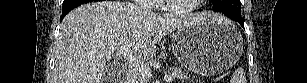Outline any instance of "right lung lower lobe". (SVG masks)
Here are the masks:
<instances>
[{"label": "right lung lower lobe", "instance_id": "98d812e1", "mask_svg": "<svg viewBox=\"0 0 307 83\" xmlns=\"http://www.w3.org/2000/svg\"><path fill=\"white\" fill-rule=\"evenodd\" d=\"M89 0H64L63 7H62V16L63 17L69 13L73 8L77 7L78 5H81L83 3L88 2Z\"/></svg>", "mask_w": 307, "mask_h": 83}]
</instances>
